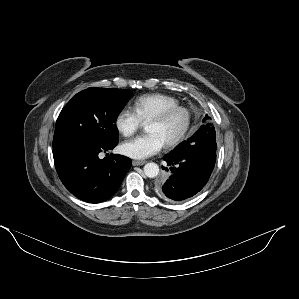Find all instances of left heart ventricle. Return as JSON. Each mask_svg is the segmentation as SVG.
Here are the masks:
<instances>
[{
	"label": "left heart ventricle",
	"instance_id": "b2bd125f",
	"mask_svg": "<svg viewBox=\"0 0 299 299\" xmlns=\"http://www.w3.org/2000/svg\"><path fill=\"white\" fill-rule=\"evenodd\" d=\"M184 120V115L177 113L162 123L150 121L147 124V132L159 134L166 142L179 132L184 124Z\"/></svg>",
	"mask_w": 299,
	"mask_h": 299
}]
</instances>
